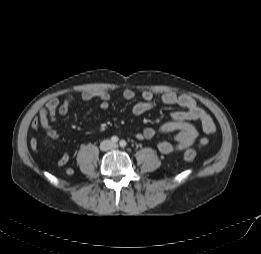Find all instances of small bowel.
<instances>
[{"label": "small bowel", "mask_w": 261, "mask_h": 254, "mask_svg": "<svg viewBox=\"0 0 261 254\" xmlns=\"http://www.w3.org/2000/svg\"><path fill=\"white\" fill-rule=\"evenodd\" d=\"M123 97L131 100L135 97V92L126 89ZM80 98L84 102L92 101L95 98L100 100V107L107 110L110 105V93L107 91H91L87 90L81 93ZM76 101V97L72 94L67 95L63 101L59 98L50 99L47 104L40 109L38 116L32 121V128L37 130L43 128L50 139L59 138V133L54 126L57 115H66L71 105ZM159 105H175L183 110L175 111L171 114L169 120L161 124L158 128L147 127L137 133L139 140L152 139L161 133H175L172 141L162 140L158 142L157 149L160 153L171 155L182 152L191 146L202 148L209 142L208 137H201L199 129L192 123L198 122L203 132L207 136H211L216 132V125L212 118L200 108L195 100L188 95L176 94L173 92L154 93L146 90L142 93V101L137 102L131 108L134 116H140ZM30 148L37 153L39 142L36 137H32L29 142ZM70 156L64 152L56 161L58 166H64L68 163ZM67 175H72L73 170L68 168L65 170Z\"/></svg>", "instance_id": "c3829d8e"}]
</instances>
